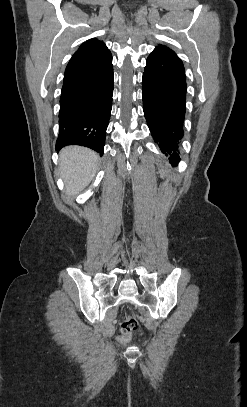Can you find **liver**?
Returning a JSON list of instances; mask_svg holds the SVG:
<instances>
[{"mask_svg": "<svg viewBox=\"0 0 247 407\" xmlns=\"http://www.w3.org/2000/svg\"><path fill=\"white\" fill-rule=\"evenodd\" d=\"M99 157L91 149L81 146L65 147L60 152V175L66 194L78 195L93 180L98 169Z\"/></svg>", "mask_w": 247, "mask_h": 407, "instance_id": "liver-1", "label": "liver"}]
</instances>
